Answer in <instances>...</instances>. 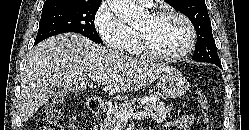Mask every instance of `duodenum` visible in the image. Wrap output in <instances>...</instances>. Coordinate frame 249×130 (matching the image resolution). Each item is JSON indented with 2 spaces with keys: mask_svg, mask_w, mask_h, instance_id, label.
I'll return each mask as SVG.
<instances>
[{
  "mask_svg": "<svg viewBox=\"0 0 249 130\" xmlns=\"http://www.w3.org/2000/svg\"><path fill=\"white\" fill-rule=\"evenodd\" d=\"M87 109L93 115H98L103 111V103L99 97H91L87 101Z\"/></svg>",
  "mask_w": 249,
  "mask_h": 130,
  "instance_id": "1",
  "label": "duodenum"
}]
</instances>
